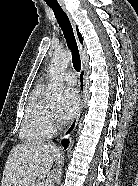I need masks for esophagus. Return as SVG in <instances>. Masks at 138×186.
I'll use <instances>...</instances> for the list:
<instances>
[{"label":"esophagus","instance_id":"1","mask_svg":"<svg viewBox=\"0 0 138 186\" xmlns=\"http://www.w3.org/2000/svg\"><path fill=\"white\" fill-rule=\"evenodd\" d=\"M60 5L63 8V10L67 13L68 17L70 18V20L72 22V18L70 16V14L66 11L65 5L62 1H60ZM78 47H79L80 53L83 54L84 49H83L82 44L79 41H78ZM85 78H86V71H85V68L83 67L82 70H81L80 76H79V92H80L79 109H78L75 117L73 118L72 122L70 123V125L62 133L61 139L67 138L68 136H70L71 133L75 130V128H76V126L79 122L80 116H81L82 111H83L84 104L86 102V99H85Z\"/></svg>","mask_w":138,"mask_h":186}]
</instances>
